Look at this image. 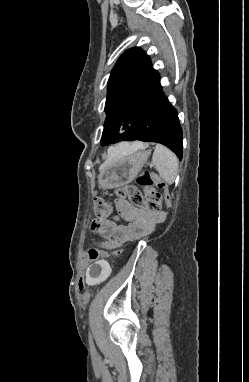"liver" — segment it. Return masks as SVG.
<instances>
[{
  "label": "liver",
  "mask_w": 249,
  "mask_h": 382,
  "mask_svg": "<svg viewBox=\"0 0 249 382\" xmlns=\"http://www.w3.org/2000/svg\"><path fill=\"white\" fill-rule=\"evenodd\" d=\"M145 148V145L141 142H134L132 144H129V143H121L111 149H109L108 151V157L105 161V163H103L101 166H100V169L104 168L106 165H108L111 160L117 156H120V155H125V154H128V153H131V152H134V151H137L139 149H143Z\"/></svg>",
  "instance_id": "6515ba94"
}]
</instances>
